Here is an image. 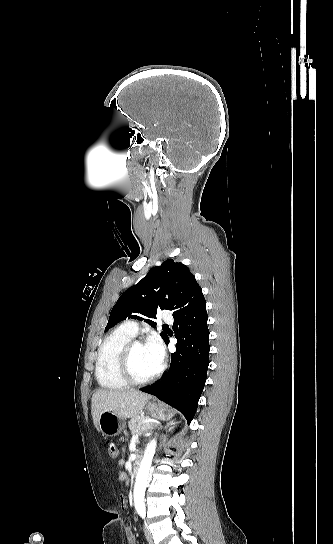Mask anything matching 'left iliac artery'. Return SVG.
I'll return each mask as SVG.
<instances>
[{"mask_svg":"<svg viewBox=\"0 0 333 544\" xmlns=\"http://www.w3.org/2000/svg\"><path fill=\"white\" fill-rule=\"evenodd\" d=\"M140 515L142 516V518H144L145 517V511H141Z\"/></svg>","mask_w":333,"mask_h":544,"instance_id":"1","label":"left iliac artery"}]
</instances>
